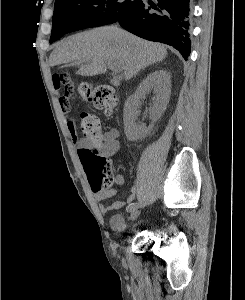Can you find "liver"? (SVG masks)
Returning <instances> with one entry per match:
<instances>
[{
	"label": "liver",
	"instance_id": "6515ba94",
	"mask_svg": "<svg viewBox=\"0 0 245 300\" xmlns=\"http://www.w3.org/2000/svg\"><path fill=\"white\" fill-rule=\"evenodd\" d=\"M167 56L166 48L128 33L117 26H105L70 36L58 44L50 55L51 66L74 61L76 72L95 76L107 71L108 62L116 63L125 80L140 70L160 62Z\"/></svg>",
	"mask_w": 245,
	"mask_h": 300
}]
</instances>
